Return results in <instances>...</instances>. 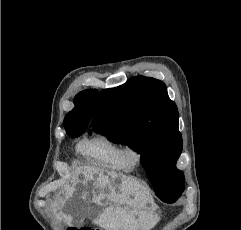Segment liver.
Listing matches in <instances>:
<instances>
[{
	"mask_svg": "<svg viewBox=\"0 0 241 230\" xmlns=\"http://www.w3.org/2000/svg\"><path fill=\"white\" fill-rule=\"evenodd\" d=\"M79 173H83L85 182L93 181L92 203L97 206H100L104 200L109 203L93 220L101 228L105 230H150L157 224V217L148 207V204L152 202V197L145 187L129 177L99 167H81L76 171L74 183L64 187L66 199L61 201L60 209L73 196ZM117 179H120L119 183H115ZM81 198L86 202L84 193ZM95 210L87 207L86 214L90 215ZM61 216L65 223L72 224L71 215L61 213Z\"/></svg>",
	"mask_w": 241,
	"mask_h": 230,
	"instance_id": "obj_1",
	"label": "liver"
}]
</instances>
